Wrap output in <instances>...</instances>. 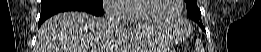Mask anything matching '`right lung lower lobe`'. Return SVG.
I'll list each match as a JSON object with an SVG mask.
<instances>
[{"instance_id": "1", "label": "right lung lower lobe", "mask_w": 261, "mask_h": 52, "mask_svg": "<svg viewBox=\"0 0 261 52\" xmlns=\"http://www.w3.org/2000/svg\"><path fill=\"white\" fill-rule=\"evenodd\" d=\"M102 6V3L83 0H42L39 26L50 16L64 11H86L101 16L104 13Z\"/></svg>"}]
</instances>
